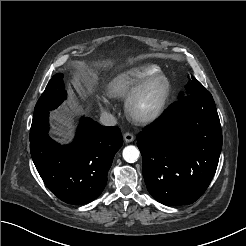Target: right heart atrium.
<instances>
[{
    "label": "right heart atrium",
    "instance_id": "obj_1",
    "mask_svg": "<svg viewBox=\"0 0 246 246\" xmlns=\"http://www.w3.org/2000/svg\"><path fill=\"white\" fill-rule=\"evenodd\" d=\"M99 105L103 109H107L109 107V101L105 97H100L99 98Z\"/></svg>",
    "mask_w": 246,
    "mask_h": 246
}]
</instances>
